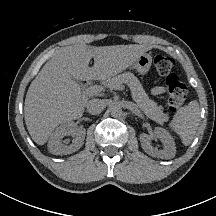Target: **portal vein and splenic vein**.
Segmentation results:
<instances>
[{"mask_svg": "<svg viewBox=\"0 0 216 216\" xmlns=\"http://www.w3.org/2000/svg\"><path fill=\"white\" fill-rule=\"evenodd\" d=\"M116 89H118V90H124V86L118 85ZM101 90L102 89H101L100 86L93 85V86L86 87L84 89V93L91 96V95H94V94H98Z\"/></svg>", "mask_w": 216, "mask_h": 216, "instance_id": "portal-vein-and-splenic-vein-1", "label": "portal vein and splenic vein"}]
</instances>
